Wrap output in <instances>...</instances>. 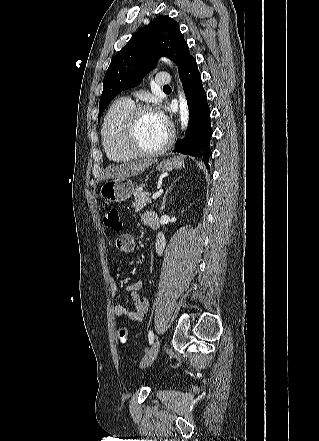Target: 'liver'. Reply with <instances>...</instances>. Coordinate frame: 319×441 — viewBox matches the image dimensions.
Instances as JSON below:
<instances>
[{"label":"liver","instance_id":"1","mask_svg":"<svg viewBox=\"0 0 319 441\" xmlns=\"http://www.w3.org/2000/svg\"><path fill=\"white\" fill-rule=\"evenodd\" d=\"M156 159H142L113 165L103 171L102 179H121L142 173L146 168L155 163Z\"/></svg>","mask_w":319,"mask_h":441}]
</instances>
